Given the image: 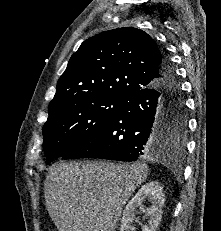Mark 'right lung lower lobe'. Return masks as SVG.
<instances>
[{"label": "right lung lower lobe", "instance_id": "obj_1", "mask_svg": "<svg viewBox=\"0 0 221 231\" xmlns=\"http://www.w3.org/2000/svg\"><path fill=\"white\" fill-rule=\"evenodd\" d=\"M163 51L158 83L126 98L118 111L95 133L63 156L136 161L161 154L170 144L163 134L168 104L182 98L173 65Z\"/></svg>", "mask_w": 221, "mask_h": 231}]
</instances>
